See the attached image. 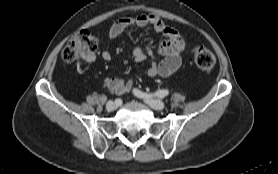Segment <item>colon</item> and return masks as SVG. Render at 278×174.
<instances>
[{"mask_svg":"<svg viewBox=\"0 0 278 174\" xmlns=\"http://www.w3.org/2000/svg\"><path fill=\"white\" fill-rule=\"evenodd\" d=\"M98 49V40L89 31L82 30L76 33L62 51V58L66 62L78 59H88L94 56ZM193 59L196 66L203 71L211 70L215 65V56L207 48L196 46L193 49Z\"/></svg>","mask_w":278,"mask_h":174,"instance_id":"1","label":"colon"}]
</instances>
